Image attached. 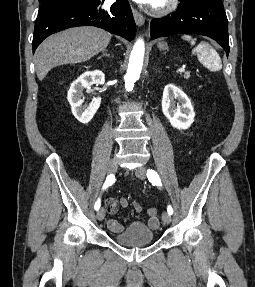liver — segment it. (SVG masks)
Segmentation results:
<instances>
[{
    "label": "liver",
    "mask_w": 255,
    "mask_h": 287,
    "mask_svg": "<svg viewBox=\"0 0 255 287\" xmlns=\"http://www.w3.org/2000/svg\"><path fill=\"white\" fill-rule=\"evenodd\" d=\"M111 34L100 28H70L53 34L44 40L36 50L35 70L39 80L48 72L63 64H78L90 60L106 50Z\"/></svg>",
    "instance_id": "obj_1"
}]
</instances>
